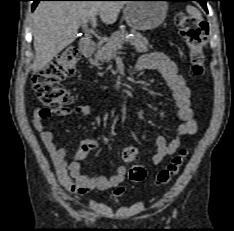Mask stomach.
<instances>
[{
	"instance_id": "0dacf381",
	"label": "stomach",
	"mask_w": 234,
	"mask_h": 231,
	"mask_svg": "<svg viewBox=\"0 0 234 231\" xmlns=\"http://www.w3.org/2000/svg\"><path fill=\"white\" fill-rule=\"evenodd\" d=\"M168 10L164 0H133L124 8V18L134 30L147 31L159 27Z\"/></svg>"
}]
</instances>
